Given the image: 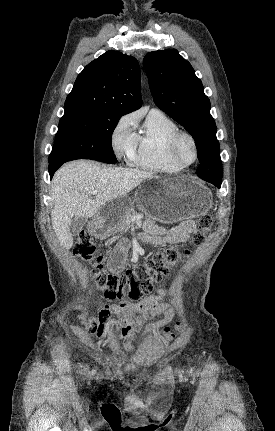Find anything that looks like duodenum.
I'll return each instance as SVG.
<instances>
[{"label": "duodenum", "mask_w": 275, "mask_h": 431, "mask_svg": "<svg viewBox=\"0 0 275 431\" xmlns=\"http://www.w3.org/2000/svg\"><path fill=\"white\" fill-rule=\"evenodd\" d=\"M93 231L96 233V234H99V232H100V229H99V226H94L93 227Z\"/></svg>", "instance_id": "410a0bca"}]
</instances>
